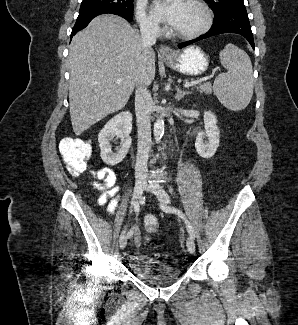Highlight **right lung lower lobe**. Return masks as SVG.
I'll return each mask as SVG.
<instances>
[{
	"label": "right lung lower lobe",
	"mask_w": 298,
	"mask_h": 325,
	"mask_svg": "<svg viewBox=\"0 0 298 325\" xmlns=\"http://www.w3.org/2000/svg\"><path fill=\"white\" fill-rule=\"evenodd\" d=\"M103 13H112V12H101L99 14H96V15H92V16H89V17H85V18H77V21L72 29V33H71V37H73L78 31L82 30L83 28H85L88 23L94 18L96 17L97 15H100V14H103ZM113 14H117V13H113ZM117 15H120V14H117ZM122 17H124L126 20L128 21H132V17L131 16H125V15H120Z\"/></svg>",
	"instance_id": "1"
}]
</instances>
